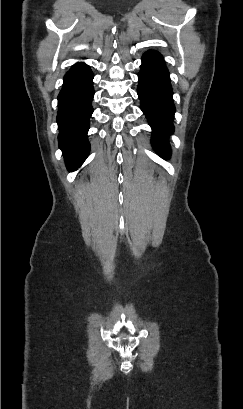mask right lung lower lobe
I'll return each instance as SVG.
<instances>
[{
    "label": "right lung lower lobe",
    "instance_id": "98d812e1",
    "mask_svg": "<svg viewBox=\"0 0 243 409\" xmlns=\"http://www.w3.org/2000/svg\"><path fill=\"white\" fill-rule=\"evenodd\" d=\"M92 79L89 66L77 63L64 76L63 87L58 95L59 147L69 171L80 167L90 150L87 132L93 112Z\"/></svg>",
    "mask_w": 243,
    "mask_h": 409
}]
</instances>
